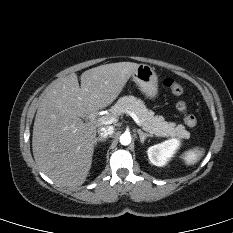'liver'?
<instances>
[{"label":"liver","instance_id":"1","mask_svg":"<svg viewBox=\"0 0 233 233\" xmlns=\"http://www.w3.org/2000/svg\"><path fill=\"white\" fill-rule=\"evenodd\" d=\"M140 64L100 65L60 79L43 95L35 117L32 151L35 162L56 183L82 185L91 169L97 126L84 123L90 112L109 106Z\"/></svg>","mask_w":233,"mask_h":233}]
</instances>
